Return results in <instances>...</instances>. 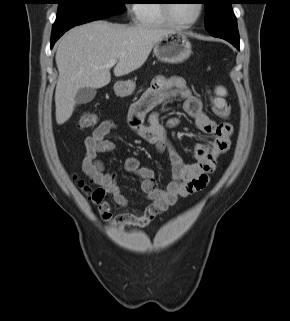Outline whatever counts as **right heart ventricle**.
I'll use <instances>...</instances> for the list:
<instances>
[{
  "instance_id": "obj_1",
  "label": "right heart ventricle",
  "mask_w": 290,
  "mask_h": 321,
  "mask_svg": "<svg viewBox=\"0 0 290 321\" xmlns=\"http://www.w3.org/2000/svg\"><path fill=\"white\" fill-rule=\"evenodd\" d=\"M136 22L147 26H164L169 22L162 11V0H139L134 5Z\"/></svg>"
}]
</instances>
